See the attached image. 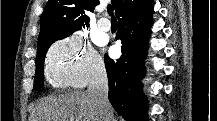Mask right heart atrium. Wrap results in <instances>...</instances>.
<instances>
[{"mask_svg": "<svg viewBox=\"0 0 217 121\" xmlns=\"http://www.w3.org/2000/svg\"><path fill=\"white\" fill-rule=\"evenodd\" d=\"M45 74L57 88H82L105 75L102 57L79 35L55 42L45 59Z\"/></svg>", "mask_w": 217, "mask_h": 121, "instance_id": "obj_1", "label": "right heart atrium"}]
</instances>
